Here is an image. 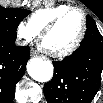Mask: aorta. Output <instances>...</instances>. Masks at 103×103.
<instances>
[{
	"mask_svg": "<svg viewBox=\"0 0 103 103\" xmlns=\"http://www.w3.org/2000/svg\"><path fill=\"white\" fill-rule=\"evenodd\" d=\"M53 65L48 60L32 58L27 64V72L38 82H48L53 76Z\"/></svg>",
	"mask_w": 103,
	"mask_h": 103,
	"instance_id": "aorta-1",
	"label": "aorta"
}]
</instances>
